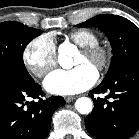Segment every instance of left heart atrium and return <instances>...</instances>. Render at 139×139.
I'll list each match as a JSON object with an SVG mask.
<instances>
[{
    "label": "left heart atrium",
    "instance_id": "left-heart-atrium-1",
    "mask_svg": "<svg viewBox=\"0 0 139 139\" xmlns=\"http://www.w3.org/2000/svg\"><path fill=\"white\" fill-rule=\"evenodd\" d=\"M98 79L97 70L90 64H81L73 69H58L44 80L45 89L56 95H72L92 87Z\"/></svg>",
    "mask_w": 139,
    "mask_h": 139
}]
</instances>
